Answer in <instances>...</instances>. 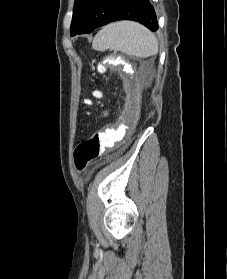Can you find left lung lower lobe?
Segmentation results:
<instances>
[{"instance_id":"left-lung-lower-lobe-1","label":"left lung lower lobe","mask_w":227,"mask_h":279,"mask_svg":"<svg viewBox=\"0 0 227 279\" xmlns=\"http://www.w3.org/2000/svg\"><path fill=\"white\" fill-rule=\"evenodd\" d=\"M118 20H133L151 31L158 29L155 11L149 0H93L82 27L76 34L91 33L94 29Z\"/></svg>"}]
</instances>
